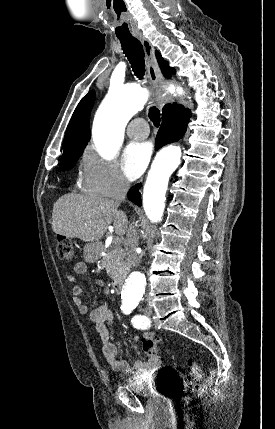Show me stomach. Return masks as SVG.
I'll list each match as a JSON object with an SVG mask.
<instances>
[{
    "label": "stomach",
    "mask_w": 275,
    "mask_h": 429,
    "mask_svg": "<svg viewBox=\"0 0 275 429\" xmlns=\"http://www.w3.org/2000/svg\"><path fill=\"white\" fill-rule=\"evenodd\" d=\"M84 258L87 262H96L100 257V245L97 242L87 243L84 248Z\"/></svg>",
    "instance_id": "stomach-1"
}]
</instances>
